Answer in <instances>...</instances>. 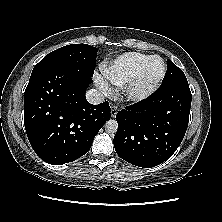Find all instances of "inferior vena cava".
Here are the masks:
<instances>
[{"label": "inferior vena cava", "instance_id": "602c4592", "mask_svg": "<svg viewBox=\"0 0 222 222\" xmlns=\"http://www.w3.org/2000/svg\"><path fill=\"white\" fill-rule=\"evenodd\" d=\"M86 99L89 103L97 105L102 103L105 97L100 91L96 89H90L89 91L86 92Z\"/></svg>", "mask_w": 222, "mask_h": 222}]
</instances>
